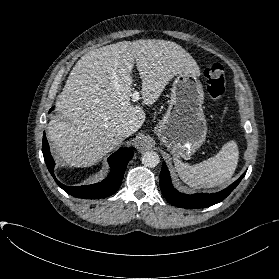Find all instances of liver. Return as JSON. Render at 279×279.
<instances>
[{"label":"liver","mask_w":279,"mask_h":279,"mask_svg":"<svg viewBox=\"0 0 279 279\" xmlns=\"http://www.w3.org/2000/svg\"><path fill=\"white\" fill-rule=\"evenodd\" d=\"M135 63L145 105H152L177 73L200 75L193 57L166 40L122 41L86 53L56 101L61 117L47 127L48 139L65 163L92 166L122 143L124 128L132 134L141 128L145 112L130 101Z\"/></svg>","instance_id":"obj_1"}]
</instances>
